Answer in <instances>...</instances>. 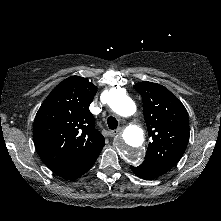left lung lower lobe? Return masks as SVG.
<instances>
[{
  "label": "left lung lower lobe",
  "instance_id": "obj_1",
  "mask_svg": "<svg viewBox=\"0 0 221 221\" xmlns=\"http://www.w3.org/2000/svg\"><path fill=\"white\" fill-rule=\"evenodd\" d=\"M130 167L132 171L136 174V176L143 179H154L162 175L153 166L147 163H142L137 167L134 166Z\"/></svg>",
  "mask_w": 221,
  "mask_h": 221
}]
</instances>
